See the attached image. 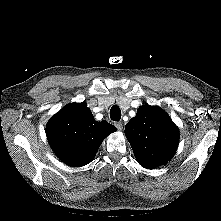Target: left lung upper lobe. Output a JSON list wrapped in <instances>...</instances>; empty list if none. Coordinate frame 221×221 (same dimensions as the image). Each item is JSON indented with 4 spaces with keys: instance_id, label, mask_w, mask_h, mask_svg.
Segmentation results:
<instances>
[{
    "instance_id": "obj_1",
    "label": "left lung upper lobe",
    "mask_w": 221,
    "mask_h": 221,
    "mask_svg": "<svg viewBox=\"0 0 221 221\" xmlns=\"http://www.w3.org/2000/svg\"><path fill=\"white\" fill-rule=\"evenodd\" d=\"M125 134L136 160L147 169L167 163L179 143L178 128L158 106H140L136 116L125 125Z\"/></svg>"
}]
</instances>
